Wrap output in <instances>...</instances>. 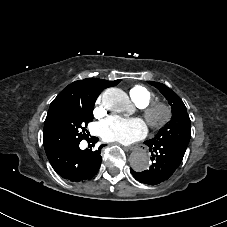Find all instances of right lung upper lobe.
Returning <instances> with one entry per match:
<instances>
[{
  "label": "right lung upper lobe",
  "instance_id": "1",
  "mask_svg": "<svg viewBox=\"0 0 227 227\" xmlns=\"http://www.w3.org/2000/svg\"><path fill=\"white\" fill-rule=\"evenodd\" d=\"M121 80L107 81L97 78L78 80L65 87L54 99L95 100L105 88L117 85Z\"/></svg>",
  "mask_w": 227,
  "mask_h": 227
}]
</instances>
